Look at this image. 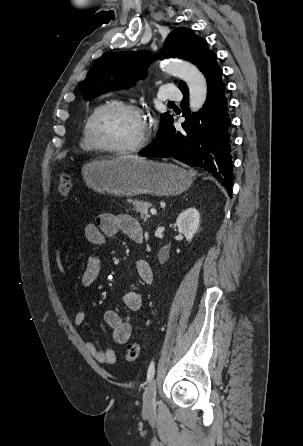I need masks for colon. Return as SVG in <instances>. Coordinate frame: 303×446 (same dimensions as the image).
Here are the masks:
<instances>
[{
    "label": "colon",
    "mask_w": 303,
    "mask_h": 446,
    "mask_svg": "<svg viewBox=\"0 0 303 446\" xmlns=\"http://www.w3.org/2000/svg\"><path fill=\"white\" fill-rule=\"evenodd\" d=\"M72 182L68 174L60 173L58 176V189L63 196H68L71 192ZM141 345L135 341L129 343L125 349L124 359L127 362L136 360L140 354Z\"/></svg>",
    "instance_id": "5ec220e1"
}]
</instances>
